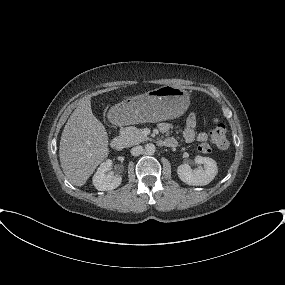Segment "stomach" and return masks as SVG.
Masks as SVG:
<instances>
[{
    "instance_id": "0dacf381",
    "label": "stomach",
    "mask_w": 285,
    "mask_h": 285,
    "mask_svg": "<svg viewBox=\"0 0 285 285\" xmlns=\"http://www.w3.org/2000/svg\"><path fill=\"white\" fill-rule=\"evenodd\" d=\"M189 104L188 91L164 85L118 103L111 108L110 116L125 125L154 123L181 116Z\"/></svg>"
}]
</instances>
